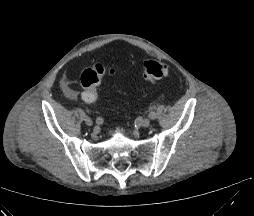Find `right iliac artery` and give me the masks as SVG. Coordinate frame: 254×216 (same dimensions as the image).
Listing matches in <instances>:
<instances>
[{
	"label": "right iliac artery",
	"instance_id": "82829eb1",
	"mask_svg": "<svg viewBox=\"0 0 254 216\" xmlns=\"http://www.w3.org/2000/svg\"><path fill=\"white\" fill-rule=\"evenodd\" d=\"M96 124L100 125L103 123V119L102 117H97L96 120H95Z\"/></svg>",
	"mask_w": 254,
	"mask_h": 216
}]
</instances>
